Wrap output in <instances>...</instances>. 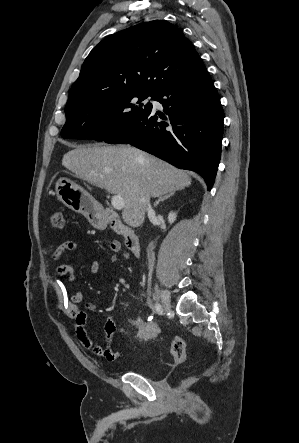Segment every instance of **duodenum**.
<instances>
[{
    "mask_svg": "<svg viewBox=\"0 0 299 443\" xmlns=\"http://www.w3.org/2000/svg\"><path fill=\"white\" fill-rule=\"evenodd\" d=\"M101 222L103 225L109 226L114 232L123 237L125 246L131 253L136 256L140 254L141 243L138 235L123 224L117 214L110 210L103 209Z\"/></svg>",
    "mask_w": 299,
    "mask_h": 443,
    "instance_id": "duodenum-1",
    "label": "duodenum"
}]
</instances>
